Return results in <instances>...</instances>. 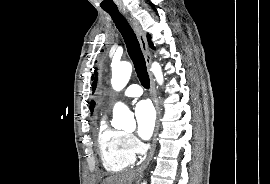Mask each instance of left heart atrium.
<instances>
[{"label":"left heart atrium","instance_id":"39dd6f15","mask_svg":"<svg viewBox=\"0 0 270 184\" xmlns=\"http://www.w3.org/2000/svg\"><path fill=\"white\" fill-rule=\"evenodd\" d=\"M137 134L141 139H149L154 131L155 111L148 101H141L135 107Z\"/></svg>","mask_w":270,"mask_h":184}]
</instances>
